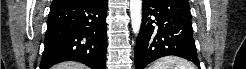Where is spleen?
I'll list each match as a JSON object with an SVG mask.
<instances>
[{
	"label": "spleen",
	"mask_w": 246,
	"mask_h": 69,
	"mask_svg": "<svg viewBox=\"0 0 246 69\" xmlns=\"http://www.w3.org/2000/svg\"><path fill=\"white\" fill-rule=\"evenodd\" d=\"M150 69H196L195 66L182 58L167 56L156 61Z\"/></svg>",
	"instance_id": "obj_1"
}]
</instances>
